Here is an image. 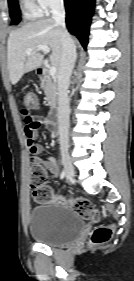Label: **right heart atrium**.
<instances>
[{
  "instance_id": "1",
  "label": "right heart atrium",
  "mask_w": 134,
  "mask_h": 281,
  "mask_svg": "<svg viewBox=\"0 0 134 281\" xmlns=\"http://www.w3.org/2000/svg\"><path fill=\"white\" fill-rule=\"evenodd\" d=\"M37 7L42 13H49L53 9L59 7L63 0H34Z\"/></svg>"
}]
</instances>
